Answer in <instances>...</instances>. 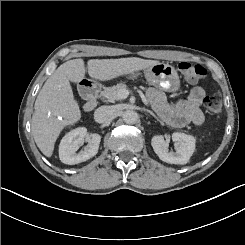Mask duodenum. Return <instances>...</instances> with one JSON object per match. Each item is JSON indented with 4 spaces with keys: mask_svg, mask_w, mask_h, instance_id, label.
I'll return each mask as SVG.
<instances>
[{
    "mask_svg": "<svg viewBox=\"0 0 245 245\" xmlns=\"http://www.w3.org/2000/svg\"><path fill=\"white\" fill-rule=\"evenodd\" d=\"M82 93L86 98V103L84 105V110L86 112L93 111L97 106V89L94 85L85 84L82 88Z\"/></svg>",
    "mask_w": 245,
    "mask_h": 245,
    "instance_id": "1",
    "label": "duodenum"
}]
</instances>
